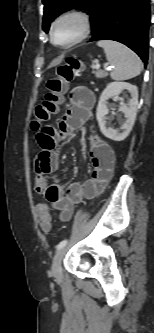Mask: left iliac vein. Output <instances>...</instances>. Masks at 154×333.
Returning <instances> with one entry per match:
<instances>
[{"instance_id":"1","label":"left iliac vein","mask_w":154,"mask_h":333,"mask_svg":"<svg viewBox=\"0 0 154 333\" xmlns=\"http://www.w3.org/2000/svg\"><path fill=\"white\" fill-rule=\"evenodd\" d=\"M65 250H66L65 247L61 248L60 250H58V252L55 254L53 258L51 273L56 279L62 278L61 262L65 254Z\"/></svg>"}]
</instances>
